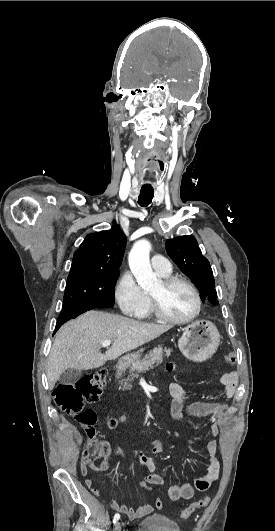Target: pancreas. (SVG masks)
Instances as JSON below:
<instances>
[{
    "label": "pancreas",
    "mask_w": 275,
    "mask_h": 531,
    "mask_svg": "<svg viewBox=\"0 0 275 531\" xmlns=\"http://www.w3.org/2000/svg\"><path fill=\"white\" fill-rule=\"evenodd\" d=\"M172 353V349H166V347H162V345H158V347H154L153 351H150L148 355H145L144 359H138V361H135V363H131V365H125L123 361H119L117 367L118 371H116V379H121L120 383L121 385H125L124 389H129L128 383L129 381H134L135 377H138V373H143V371H149V369H153V365H160L163 361V357H170ZM126 369H130L127 379H122L124 377V373Z\"/></svg>",
    "instance_id": "obj_1"
}]
</instances>
